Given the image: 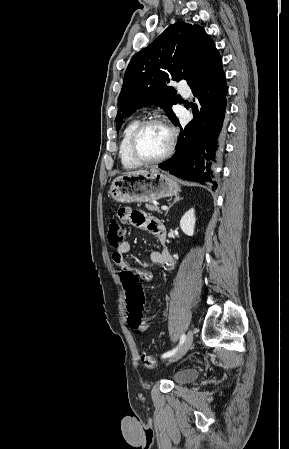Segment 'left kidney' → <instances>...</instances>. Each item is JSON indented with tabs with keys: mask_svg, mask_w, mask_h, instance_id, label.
I'll list each match as a JSON object with an SVG mask.
<instances>
[{
	"mask_svg": "<svg viewBox=\"0 0 289 449\" xmlns=\"http://www.w3.org/2000/svg\"><path fill=\"white\" fill-rule=\"evenodd\" d=\"M195 210L191 208L188 210L183 217L180 220V228L182 231L188 235L193 236L194 235V228H195Z\"/></svg>",
	"mask_w": 289,
	"mask_h": 449,
	"instance_id": "obj_1",
	"label": "left kidney"
}]
</instances>
